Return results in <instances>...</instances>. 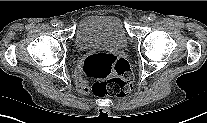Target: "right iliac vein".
<instances>
[{"label": "right iliac vein", "mask_w": 207, "mask_h": 123, "mask_svg": "<svg viewBox=\"0 0 207 123\" xmlns=\"http://www.w3.org/2000/svg\"><path fill=\"white\" fill-rule=\"evenodd\" d=\"M63 26H64V23H63L62 21H59V22H58V27H59V28H63Z\"/></svg>", "instance_id": "obj_1"}]
</instances>
